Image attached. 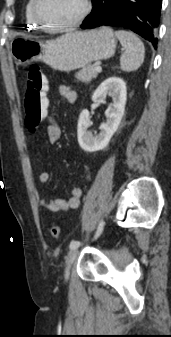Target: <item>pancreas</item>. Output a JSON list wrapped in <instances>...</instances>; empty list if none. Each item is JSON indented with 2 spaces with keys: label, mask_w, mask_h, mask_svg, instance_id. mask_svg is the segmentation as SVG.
Instances as JSON below:
<instances>
[{
  "label": "pancreas",
  "mask_w": 171,
  "mask_h": 337,
  "mask_svg": "<svg viewBox=\"0 0 171 337\" xmlns=\"http://www.w3.org/2000/svg\"><path fill=\"white\" fill-rule=\"evenodd\" d=\"M94 68L95 66L91 64L84 66L75 74L77 81L89 83L92 79L96 78L97 72L94 70Z\"/></svg>",
  "instance_id": "pancreas-1"
}]
</instances>
